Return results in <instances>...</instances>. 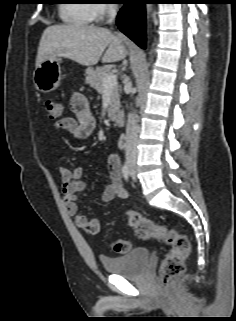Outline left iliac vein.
<instances>
[{
	"label": "left iliac vein",
	"mask_w": 236,
	"mask_h": 321,
	"mask_svg": "<svg viewBox=\"0 0 236 321\" xmlns=\"http://www.w3.org/2000/svg\"><path fill=\"white\" fill-rule=\"evenodd\" d=\"M132 175H134V171L132 170Z\"/></svg>",
	"instance_id": "1"
}]
</instances>
